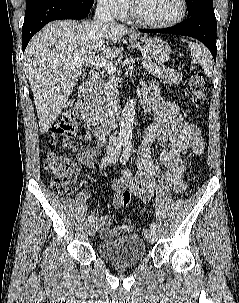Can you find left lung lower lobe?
I'll use <instances>...</instances> for the list:
<instances>
[{
  "label": "left lung lower lobe",
  "mask_w": 239,
  "mask_h": 303,
  "mask_svg": "<svg viewBox=\"0 0 239 303\" xmlns=\"http://www.w3.org/2000/svg\"><path fill=\"white\" fill-rule=\"evenodd\" d=\"M216 29L217 22L214 10L199 11L180 24L165 29H139L144 33H168L190 36L200 40L210 50L216 60Z\"/></svg>",
  "instance_id": "1"
}]
</instances>
